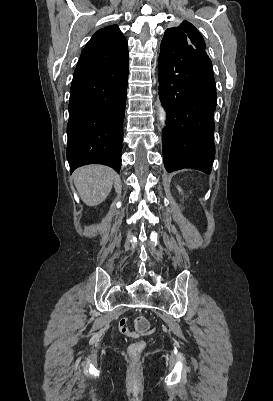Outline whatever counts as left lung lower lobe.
<instances>
[{"mask_svg": "<svg viewBox=\"0 0 273 401\" xmlns=\"http://www.w3.org/2000/svg\"><path fill=\"white\" fill-rule=\"evenodd\" d=\"M159 95L167 112L162 133L168 172L194 168L210 174L215 155L216 83L205 50L161 43Z\"/></svg>", "mask_w": 273, "mask_h": 401, "instance_id": "left-lung-lower-lobe-1", "label": "left lung lower lobe"}]
</instances>
